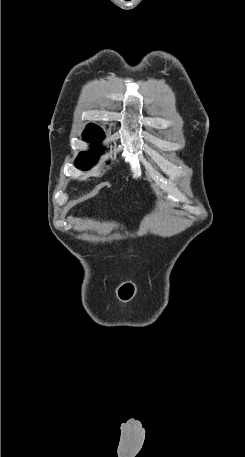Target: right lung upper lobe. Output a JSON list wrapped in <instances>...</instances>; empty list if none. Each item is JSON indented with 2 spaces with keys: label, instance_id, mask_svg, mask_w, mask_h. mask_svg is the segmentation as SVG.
<instances>
[{
  "label": "right lung upper lobe",
  "instance_id": "cb5924a9",
  "mask_svg": "<svg viewBox=\"0 0 245 457\" xmlns=\"http://www.w3.org/2000/svg\"><path fill=\"white\" fill-rule=\"evenodd\" d=\"M87 127H91V128H99V129H101L100 127H98L97 125H94V124H90V125H88Z\"/></svg>",
  "mask_w": 245,
  "mask_h": 457
}]
</instances>
